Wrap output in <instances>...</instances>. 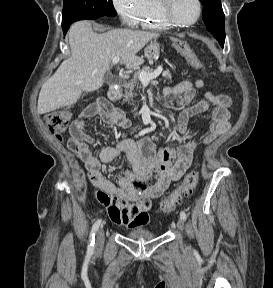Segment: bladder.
Returning <instances> with one entry per match:
<instances>
[{"label":"bladder","instance_id":"bladder-1","mask_svg":"<svg viewBox=\"0 0 273 288\" xmlns=\"http://www.w3.org/2000/svg\"><path fill=\"white\" fill-rule=\"evenodd\" d=\"M155 234L147 229H134L126 233V237L134 240H148L152 239Z\"/></svg>","mask_w":273,"mask_h":288}]
</instances>
